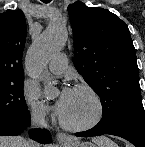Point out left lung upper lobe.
<instances>
[{
	"instance_id": "obj_1",
	"label": "left lung upper lobe",
	"mask_w": 145,
	"mask_h": 147,
	"mask_svg": "<svg viewBox=\"0 0 145 147\" xmlns=\"http://www.w3.org/2000/svg\"><path fill=\"white\" fill-rule=\"evenodd\" d=\"M74 35V65L100 97L97 128L145 116L135 48L125 22L107 9L82 2L68 6Z\"/></svg>"
}]
</instances>
